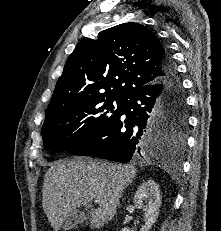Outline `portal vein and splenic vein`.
I'll return each instance as SVG.
<instances>
[{
    "mask_svg": "<svg viewBox=\"0 0 221 231\" xmlns=\"http://www.w3.org/2000/svg\"><path fill=\"white\" fill-rule=\"evenodd\" d=\"M95 202L98 203V204H102L103 203V201L101 199H96Z\"/></svg>",
    "mask_w": 221,
    "mask_h": 231,
    "instance_id": "1",
    "label": "portal vein and splenic vein"
}]
</instances>
